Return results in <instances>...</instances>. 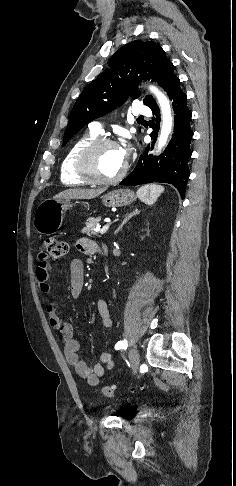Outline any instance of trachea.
Returning a JSON list of instances; mask_svg holds the SVG:
<instances>
[{
    "label": "trachea",
    "mask_w": 236,
    "mask_h": 486,
    "mask_svg": "<svg viewBox=\"0 0 236 486\" xmlns=\"http://www.w3.org/2000/svg\"><path fill=\"white\" fill-rule=\"evenodd\" d=\"M139 119H143V117L141 116V117H139Z\"/></svg>",
    "instance_id": "3493384b"
}]
</instances>
